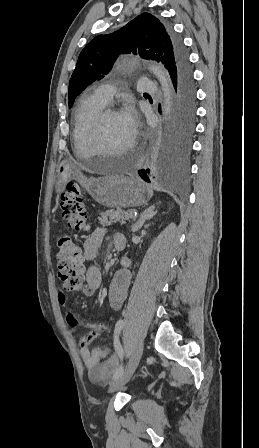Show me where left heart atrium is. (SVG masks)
Wrapping results in <instances>:
<instances>
[{"label": "left heart atrium", "instance_id": "left-heart-atrium-1", "mask_svg": "<svg viewBox=\"0 0 259 448\" xmlns=\"http://www.w3.org/2000/svg\"><path fill=\"white\" fill-rule=\"evenodd\" d=\"M119 115L131 136L134 138L138 129V117L135 110L131 106H126Z\"/></svg>", "mask_w": 259, "mask_h": 448}]
</instances>
